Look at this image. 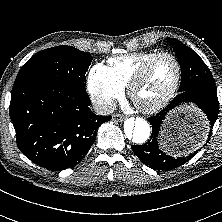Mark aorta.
<instances>
[{
    "label": "aorta",
    "instance_id": "762f6f07",
    "mask_svg": "<svg viewBox=\"0 0 222 222\" xmlns=\"http://www.w3.org/2000/svg\"><path fill=\"white\" fill-rule=\"evenodd\" d=\"M150 132L149 123L141 117L129 118L123 126L125 140L135 145L145 144L150 137Z\"/></svg>",
    "mask_w": 222,
    "mask_h": 222
}]
</instances>
